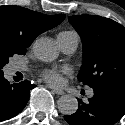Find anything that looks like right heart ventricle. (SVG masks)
I'll return each mask as SVG.
<instances>
[{
    "instance_id": "1",
    "label": "right heart ventricle",
    "mask_w": 125,
    "mask_h": 125,
    "mask_svg": "<svg viewBox=\"0 0 125 125\" xmlns=\"http://www.w3.org/2000/svg\"><path fill=\"white\" fill-rule=\"evenodd\" d=\"M61 33H72V31H65V32H61Z\"/></svg>"
}]
</instances>
